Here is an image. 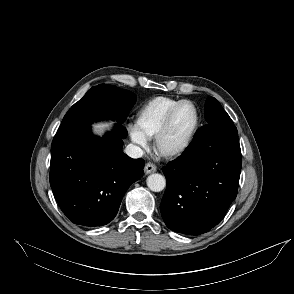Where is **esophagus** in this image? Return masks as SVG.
Returning <instances> with one entry per match:
<instances>
[{
  "label": "esophagus",
  "instance_id": "1",
  "mask_svg": "<svg viewBox=\"0 0 294 294\" xmlns=\"http://www.w3.org/2000/svg\"><path fill=\"white\" fill-rule=\"evenodd\" d=\"M157 170L156 166L152 163H146L145 167H144V172L145 174H150L153 173Z\"/></svg>",
  "mask_w": 294,
  "mask_h": 294
}]
</instances>
